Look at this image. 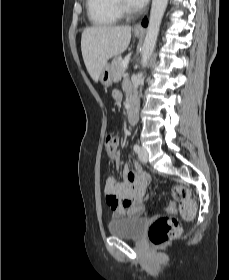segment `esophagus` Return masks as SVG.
Segmentation results:
<instances>
[{
    "label": "esophagus",
    "instance_id": "esophagus-1",
    "mask_svg": "<svg viewBox=\"0 0 229 280\" xmlns=\"http://www.w3.org/2000/svg\"><path fill=\"white\" fill-rule=\"evenodd\" d=\"M134 30H136V31L143 30V27H142V25H141V23H140V22H139V23H137V24L134 26Z\"/></svg>",
    "mask_w": 229,
    "mask_h": 280
}]
</instances>
